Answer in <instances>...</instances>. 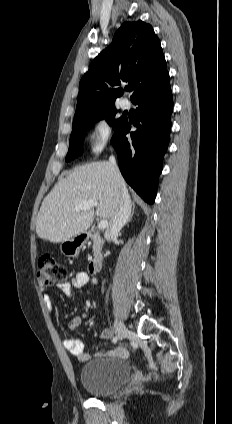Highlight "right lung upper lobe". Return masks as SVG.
<instances>
[{"label": "right lung upper lobe", "mask_w": 232, "mask_h": 424, "mask_svg": "<svg viewBox=\"0 0 232 424\" xmlns=\"http://www.w3.org/2000/svg\"><path fill=\"white\" fill-rule=\"evenodd\" d=\"M167 72L160 41L151 25L125 22L112 43L91 63L82 77L74 119L93 111L115 106L124 93L122 82L133 85V102L154 87Z\"/></svg>", "instance_id": "1"}]
</instances>
